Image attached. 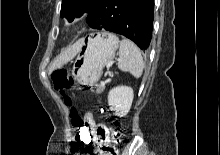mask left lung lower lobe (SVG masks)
Segmentation results:
<instances>
[{
  "label": "left lung lower lobe",
  "mask_w": 220,
  "mask_h": 155,
  "mask_svg": "<svg viewBox=\"0 0 220 155\" xmlns=\"http://www.w3.org/2000/svg\"><path fill=\"white\" fill-rule=\"evenodd\" d=\"M154 0H99L88 12L93 29H105L146 50L152 37Z\"/></svg>",
  "instance_id": "1"
}]
</instances>
